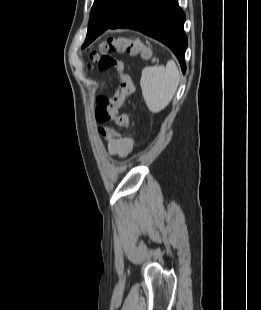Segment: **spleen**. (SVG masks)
<instances>
[{
  "mask_svg": "<svg viewBox=\"0 0 261 310\" xmlns=\"http://www.w3.org/2000/svg\"><path fill=\"white\" fill-rule=\"evenodd\" d=\"M180 81V74L174 61L164 66H146L142 70L140 86L149 110L162 111L172 100Z\"/></svg>",
  "mask_w": 261,
  "mask_h": 310,
  "instance_id": "obj_1",
  "label": "spleen"
}]
</instances>
